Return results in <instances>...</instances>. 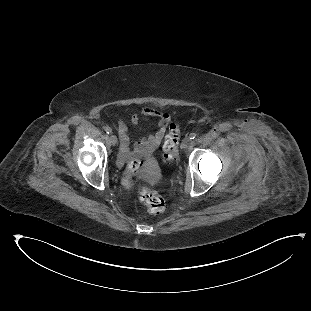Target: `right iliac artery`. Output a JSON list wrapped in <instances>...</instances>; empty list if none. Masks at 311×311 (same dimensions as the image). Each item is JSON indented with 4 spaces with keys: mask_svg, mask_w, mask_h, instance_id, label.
Wrapping results in <instances>:
<instances>
[{
    "mask_svg": "<svg viewBox=\"0 0 311 311\" xmlns=\"http://www.w3.org/2000/svg\"><path fill=\"white\" fill-rule=\"evenodd\" d=\"M105 131L107 134H111L112 133V129L110 127H105Z\"/></svg>",
    "mask_w": 311,
    "mask_h": 311,
    "instance_id": "right-iliac-artery-1",
    "label": "right iliac artery"
}]
</instances>
